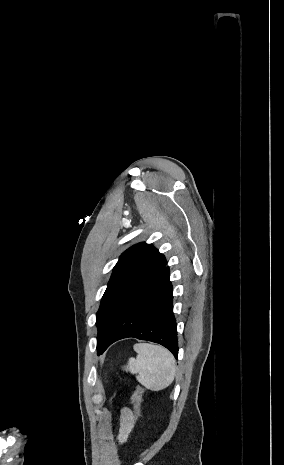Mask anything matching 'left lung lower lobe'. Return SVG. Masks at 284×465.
Instances as JSON below:
<instances>
[{
    "instance_id": "1",
    "label": "left lung lower lobe",
    "mask_w": 284,
    "mask_h": 465,
    "mask_svg": "<svg viewBox=\"0 0 284 465\" xmlns=\"http://www.w3.org/2000/svg\"><path fill=\"white\" fill-rule=\"evenodd\" d=\"M172 294L169 268L165 266L120 311L104 338L101 354L112 343L134 337L163 345L177 359L179 348Z\"/></svg>"
}]
</instances>
